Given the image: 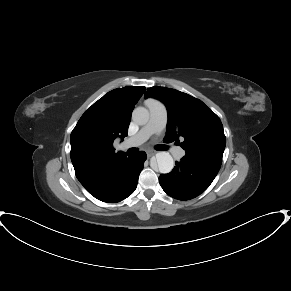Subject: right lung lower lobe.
Returning <instances> with one entry per match:
<instances>
[{"mask_svg":"<svg viewBox=\"0 0 291 291\" xmlns=\"http://www.w3.org/2000/svg\"><path fill=\"white\" fill-rule=\"evenodd\" d=\"M146 157L144 151L125 155L105 164L77 170L76 177L96 199L119 202L135 191Z\"/></svg>","mask_w":291,"mask_h":291,"instance_id":"1","label":"right lung lower lobe"}]
</instances>
